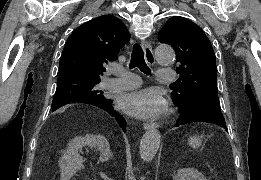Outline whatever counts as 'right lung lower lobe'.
Here are the masks:
<instances>
[{
  "label": "right lung lower lobe",
  "mask_w": 261,
  "mask_h": 180,
  "mask_svg": "<svg viewBox=\"0 0 261 180\" xmlns=\"http://www.w3.org/2000/svg\"><path fill=\"white\" fill-rule=\"evenodd\" d=\"M73 102L86 103V104L94 105V106L100 107L104 110H107L112 116L116 117V121L119 123L121 128L125 131L126 121L122 116L118 115L117 112L113 109V107L111 106V103H112L111 100L104 98V99H99V100H94V101L76 100Z\"/></svg>",
  "instance_id": "98d812e1"
}]
</instances>
